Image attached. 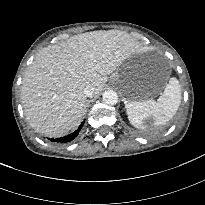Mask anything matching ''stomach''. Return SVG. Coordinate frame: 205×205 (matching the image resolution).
I'll use <instances>...</instances> for the list:
<instances>
[{
  "mask_svg": "<svg viewBox=\"0 0 205 205\" xmlns=\"http://www.w3.org/2000/svg\"><path fill=\"white\" fill-rule=\"evenodd\" d=\"M111 83L117 87L127 101H143L156 97L165 81L149 82L143 68L135 62H126L111 75Z\"/></svg>",
  "mask_w": 205,
  "mask_h": 205,
  "instance_id": "obj_1",
  "label": "stomach"
}]
</instances>
